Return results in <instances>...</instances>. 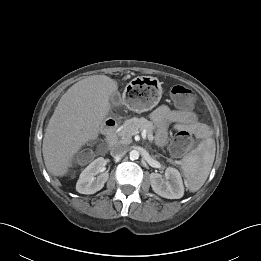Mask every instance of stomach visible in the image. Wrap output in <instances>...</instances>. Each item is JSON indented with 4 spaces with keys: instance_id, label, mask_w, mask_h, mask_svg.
Returning <instances> with one entry per match:
<instances>
[{
    "instance_id": "0dacf381",
    "label": "stomach",
    "mask_w": 261,
    "mask_h": 261,
    "mask_svg": "<svg viewBox=\"0 0 261 261\" xmlns=\"http://www.w3.org/2000/svg\"><path fill=\"white\" fill-rule=\"evenodd\" d=\"M162 87L153 77L134 78L125 88L123 104L136 113L151 110L160 101Z\"/></svg>"
}]
</instances>
